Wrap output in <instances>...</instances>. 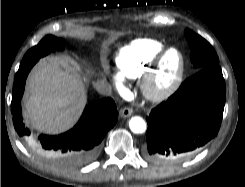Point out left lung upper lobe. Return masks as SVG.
<instances>
[{
    "instance_id": "1",
    "label": "left lung upper lobe",
    "mask_w": 245,
    "mask_h": 187,
    "mask_svg": "<svg viewBox=\"0 0 245 187\" xmlns=\"http://www.w3.org/2000/svg\"><path fill=\"white\" fill-rule=\"evenodd\" d=\"M185 36L191 49V61L197 70L218 63V56L208 41L189 29L185 30Z\"/></svg>"
}]
</instances>
